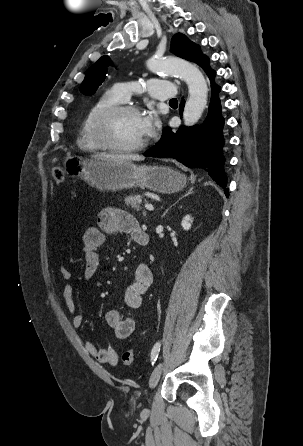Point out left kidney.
I'll list each match as a JSON object with an SVG mask.
<instances>
[{"instance_id": "left-kidney-1", "label": "left kidney", "mask_w": 303, "mask_h": 446, "mask_svg": "<svg viewBox=\"0 0 303 446\" xmlns=\"http://www.w3.org/2000/svg\"><path fill=\"white\" fill-rule=\"evenodd\" d=\"M192 222L193 218L190 215H186L181 222V226L184 230L188 231L191 228Z\"/></svg>"}]
</instances>
